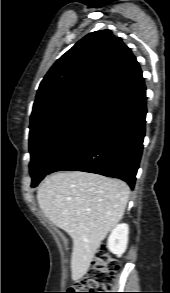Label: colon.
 <instances>
[{
    "mask_svg": "<svg viewBox=\"0 0 170 293\" xmlns=\"http://www.w3.org/2000/svg\"><path fill=\"white\" fill-rule=\"evenodd\" d=\"M116 261L108 250L100 247L88 268L86 276L75 282L70 288L71 293H107V289L115 281Z\"/></svg>",
    "mask_w": 170,
    "mask_h": 293,
    "instance_id": "obj_1",
    "label": "colon"
}]
</instances>
